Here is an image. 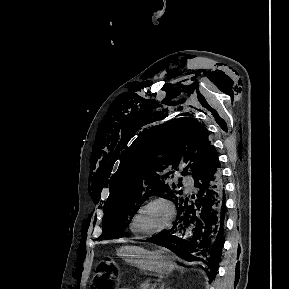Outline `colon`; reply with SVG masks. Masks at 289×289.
<instances>
[{"label": "colon", "instance_id": "colon-1", "mask_svg": "<svg viewBox=\"0 0 289 289\" xmlns=\"http://www.w3.org/2000/svg\"><path fill=\"white\" fill-rule=\"evenodd\" d=\"M116 280V275L109 263L101 262L96 269L92 289H114Z\"/></svg>", "mask_w": 289, "mask_h": 289}]
</instances>
